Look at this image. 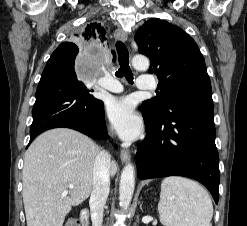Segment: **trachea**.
<instances>
[{"label": "trachea", "mask_w": 247, "mask_h": 226, "mask_svg": "<svg viewBox=\"0 0 247 226\" xmlns=\"http://www.w3.org/2000/svg\"><path fill=\"white\" fill-rule=\"evenodd\" d=\"M116 49L118 53L120 68L115 73V75L119 78L125 77L129 83L133 84V74L129 65L128 49L126 45L121 41L116 42Z\"/></svg>", "instance_id": "1"}]
</instances>
